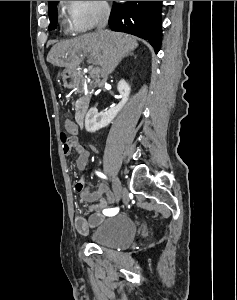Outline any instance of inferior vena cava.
Returning a JSON list of instances; mask_svg holds the SVG:
<instances>
[{"label":"inferior vena cava","mask_w":237,"mask_h":300,"mask_svg":"<svg viewBox=\"0 0 237 300\" xmlns=\"http://www.w3.org/2000/svg\"><path fill=\"white\" fill-rule=\"evenodd\" d=\"M110 15V9L107 5H103L102 11L100 13L99 23L97 25V33L101 35L103 33V29H105L106 25H108V19Z\"/></svg>","instance_id":"obj_1"}]
</instances>
